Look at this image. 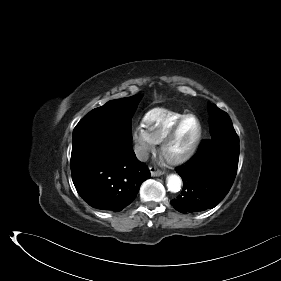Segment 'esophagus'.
I'll list each match as a JSON object with an SVG mask.
<instances>
[{"instance_id":"1","label":"esophagus","mask_w":281,"mask_h":281,"mask_svg":"<svg viewBox=\"0 0 281 281\" xmlns=\"http://www.w3.org/2000/svg\"><path fill=\"white\" fill-rule=\"evenodd\" d=\"M150 173H151V176L158 177V176L163 175L164 171L159 170L158 168H155V167H151L150 168Z\"/></svg>"}]
</instances>
